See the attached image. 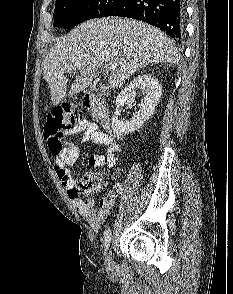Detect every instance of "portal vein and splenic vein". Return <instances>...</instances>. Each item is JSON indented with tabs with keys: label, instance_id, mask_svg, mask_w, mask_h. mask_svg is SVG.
<instances>
[{
	"label": "portal vein and splenic vein",
	"instance_id": "1",
	"mask_svg": "<svg viewBox=\"0 0 233 294\" xmlns=\"http://www.w3.org/2000/svg\"><path fill=\"white\" fill-rule=\"evenodd\" d=\"M114 68H115L114 66H108L106 71L107 72H111L112 70H114Z\"/></svg>",
	"mask_w": 233,
	"mask_h": 294
}]
</instances>
